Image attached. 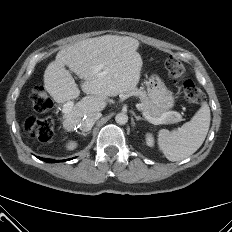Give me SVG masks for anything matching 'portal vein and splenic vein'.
I'll return each mask as SVG.
<instances>
[{"label": "portal vein and splenic vein", "mask_w": 232, "mask_h": 232, "mask_svg": "<svg viewBox=\"0 0 232 232\" xmlns=\"http://www.w3.org/2000/svg\"><path fill=\"white\" fill-rule=\"evenodd\" d=\"M74 106V103L72 101H69L63 105V112L68 113ZM139 108V105L137 106ZM143 116L152 124L154 125H159V124H164L165 123V116L172 114V112H166L163 117L160 118H153L151 117L147 112L143 111L142 112Z\"/></svg>", "instance_id": "portal-vein-and-splenic-vein-1"}]
</instances>
